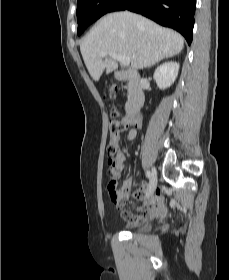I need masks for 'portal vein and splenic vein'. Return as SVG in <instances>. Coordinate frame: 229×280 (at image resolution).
<instances>
[{
    "label": "portal vein and splenic vein",
    "instance_id": "1",
    "mask_svg": "<svg viewBox=\"0 0 229 280\" xmlns=\"http://www.w3.org/2000/svg\"><path fill=\"white\" fill-rule=\"evenodd\" d=\"M111 55L115 60L119 61L123 66H129L130 64V58L115 52H103L101 53V57H105L107 55Z\"/></svg>",
    "mask_w": 229,
    "mask_h": 280
}]
</instances>
